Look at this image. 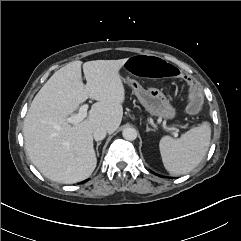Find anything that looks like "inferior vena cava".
Listing matches in <instances>:
<instances>
[{
	"mask_svg": "<svg viewBox=\"0 0 241 241\" xmlns=\"http://www.w3.org/2000/svg\"><path fill=\"white\" fill-rule=\"evenodd\" d=\"M107 130L104 127H98L94 130L93 136L95 141L103 140L106 136Z\"/></svg>",
	"mask_w": 241,
	"mask_h": 241,
	"instance_id": "obj_1",
	"label": "inferior vena cava"
}]
</instances>
